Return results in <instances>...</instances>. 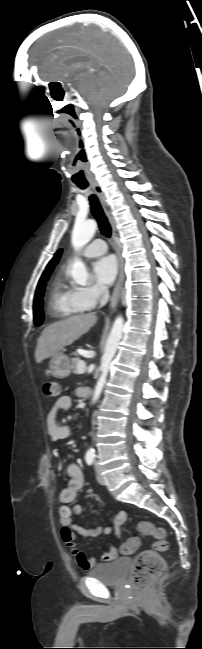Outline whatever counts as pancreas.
<instances>
[{
    "instance_id": "obj_1",
    "label": "pancreas",
    "mask_w": 202,
    "mask_h": 649,
    "mask_svg": "<svg viewBox=\"0 0 202 649\" xmlns=\"http://www.w3.org/2000/svg\"><path fill=\"white\" fill-rule=\"evenodd\" d=\"M79 361H80V360H79L78 358H74V359L72 360V366H71V369H72V373H73V374H80L79 371H78V368H77V364H78Z\"/></svg>"
}]
</instances>
